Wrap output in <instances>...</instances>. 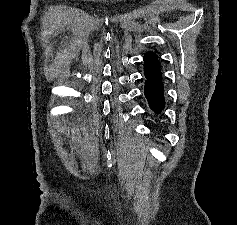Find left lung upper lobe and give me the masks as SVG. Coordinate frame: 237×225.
Masks as SVG:
<instances>
[{
    "label": "left lung upper lobe",
    "instance_id": "1",
    "mask_svg": "<svg viewBox=\"0 0 237 225\" xmlns=\"http://www.w3.org/2000/svg\"><path fill=\"white\" fill-rule=\"evenodd\" d=\"M144 74L156 79H161L162 75L156 56L152 52L146 53L144 57Z\"/></svg>",
    "mask_w": 237,
    "mask_h": 225
}]
</instances>
